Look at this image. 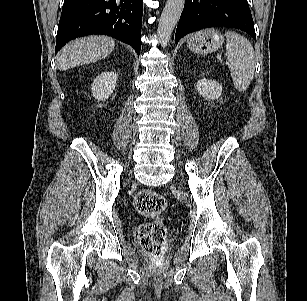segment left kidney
Listing matches in <instances>:
<instances>
[{
	"instance_id": "5707ae66",
	"label": "left kidney",
	"mask_w": 307,
	"mask_h": 301,
	"mask_svg": "<svg viewBox=\"0 0 307 301\" xmlns=\"http://www.w3.org/2000/svg\"><path fill=\"white\" fill-rule=\"evenodd\" d=\"M196 89L206 100L218 99L222 94V86L212 79L203 78L196 83Z\"/></svg>"
}]
</instances>
